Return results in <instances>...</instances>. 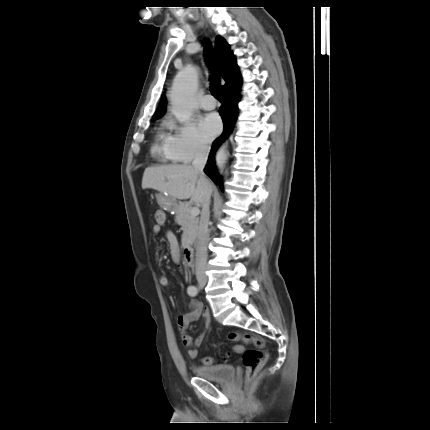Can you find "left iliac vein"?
I'll return each mask as SVG.
<instances>
[{
	"mask_svg": "<svg viewBox=\"0 0 430 430\" xmlns=\"http://www.w3.org/2000/svg\"><path fill=\"white\" fill-rule=\"evenodd\" d=\"M204 287V284H200L199 288L202 289Z\"/></svg>",
	"mask_w": 430,
	"mask_h": 430,
	"instance_id": "4c4485c4",
	"label": "left iliac vein"
}]
</instances>
